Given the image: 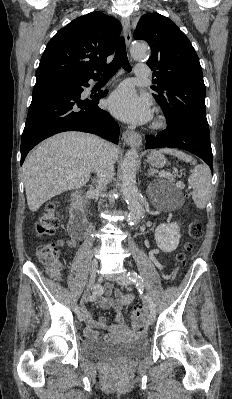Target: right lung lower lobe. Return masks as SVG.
<instances>
[{
	"mask_svg": "<svg viewBox=\"0 0 232 399\" xmlns=\"http://www.w3.org/2000/svg\"><path fill=\"white\" fill-rule=\"evenodd\" d=\"M93 76H46L36 78L21 140V164L42 140L64 131H83L118 144L120 128L111 115L98 107L107 91L82 95Z\"/></svg>",
	"mask_w": 232,
	"mask_h": 399,
	"instance_id": "obj_1",
	"label": "right lung lower lobe"
}]
</instances>
